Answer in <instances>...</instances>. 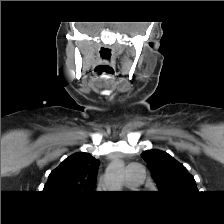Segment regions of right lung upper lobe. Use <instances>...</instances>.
Here are the masks:
<instances>
[{
  "instance_id": "cb5924a9",
  "label": "right lung upper lobe",
  "mask_w": 224,
  "mask_h": 224,
  "mask_svg": "<svg viewBox=\"0 0 224 224\" xmlns=\"http://www.w3.org/2000/svg\"><path fill=\"white\" fill-rule=\"evenodd\" d=\"M98 166L99 161L89 153H75L50 173L44 191L66 194L92 193Z\"/></svg>"
}]
</instances>
